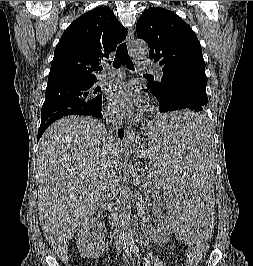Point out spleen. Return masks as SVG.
Instances as JSON below:
<instances>
[{
  "mask_svg": "<svg viewBox=\"0 0 253 266\" xmlns=\"http://www.w3.org/2000/svg\"><path fill=\"white\" fill-rule=\"evenodd\" d=\"M197 111H167L153 117L156 145L143 166L151 199L164 204L180 248H207L217 234L209 190L214 179L211 137Z\"/></svg>",
  "mask_w": 253,
  "mask_h": 266,
  "instance_id": "spleen-1",
  "label": "spleen"
}]
</instances>
